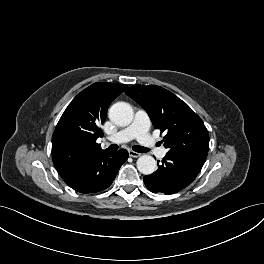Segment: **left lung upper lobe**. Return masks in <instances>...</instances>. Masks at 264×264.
Listing matches in <instances>:
<instances>
[{
	"mask_svg": "<svg viewBox=\"0 0 264 264\" xmlns=\"http://www.w3.org/2000/svg\"><path fill=\"white\" fill-rule=\"evenodd\" d=\"M126 94L146 110L155 129L166 133L163 142L168 153L205 163L209 134L201 118L185 102L160 86L134 85Z\"/></svg>",
	"mask_w": 264,
	"mask_h": 264,
	"instance_id": "obj_1",
	"label": "left lung upper lobe"
}]
</instances>
